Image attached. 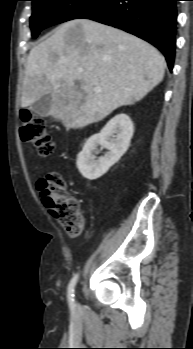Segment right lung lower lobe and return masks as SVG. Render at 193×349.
I'll return each mask as SVG.
<instances>
[{"label":"right lung lower lobe","mask_w":193,"mask_h":349,"mask_svg":"<svg viewBox=\"0 0 193 349\" xmlns=\"http://www.w3.org/2000/svg\"><path fill=\"white\" fill-rule=\"evenodd\" d=\"M178 0H99L78 18L91 19L134 34L154 46L173 68Z\"/></svg>","instance_id":"obj_1"}]
</instances>
